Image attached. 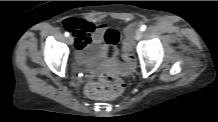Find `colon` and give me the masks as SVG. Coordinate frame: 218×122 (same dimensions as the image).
<instances>
[{"label":"colon","instance_id":"obj_1","mask_svg":"<svg viewBox=\"0 0 218 122\" xmlns=\"http://www.w3.org/2000/svg\"><path fill=\"white\" fill-rule=\"evenodd\" d=\"M124 36L122 31L117 27H108L102 32V41L99 53L94 55L88 63V68L83 70L85 77L92 75V70H97L104 61H109L119 52V46L123 43ZM132 28L127 30V36L123 44V57L129 63H134V54L132 51ZM124 82L116 75L101 73L97 80L88 83L86 94L91 98L113 99L121 95L124 91Z\"/></svg>","mask_w":218,"mask_h":122}]
</instances>
